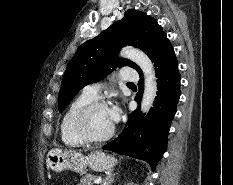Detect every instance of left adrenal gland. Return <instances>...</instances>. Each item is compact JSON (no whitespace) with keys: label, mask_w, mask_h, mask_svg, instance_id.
I'll return each mask as SVG.
<instances>
[{"label":"left adrenal gland","mask_w":233,"mask_h":185,"mask_svg":"<svg viewBox=\"0 0 233 185\" xmlns=\"http://www.w3.org/2000/svg\"><path fill=\"white\" fill-rule=\"evenodd\" d=\"M115 173H110L106 176V178L103 180L101 185H111L114 182V176Z\"/></svg>","instance_id":"a2214340"}]
</instances>
